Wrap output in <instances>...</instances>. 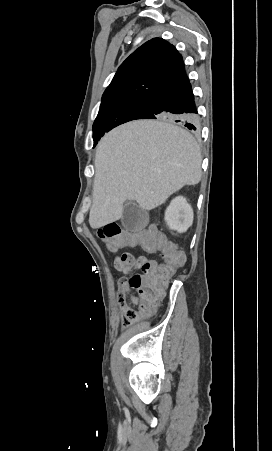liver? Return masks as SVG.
<instances>
[{
    "label": "liver",
    "mask_w": 272,
    "mask_h": 451,
    "mask_svg": "<svg viewBox=\"0 0 272 451\" xmlns=\"http://www.w3.org/2000/svg\"><path fill=\"white\" fill-rule=\"evenodd\" d=\"M201 162L195 138L171 116L114 128L96 150L90 226L120 220L126 200L142 210L161 206L183 186L200 182Z\"/></svg>",
    "instance_id": "obj_1"
}]
</instances>
